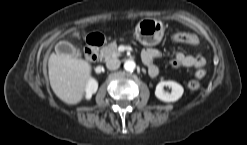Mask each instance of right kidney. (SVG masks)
<instances>
[{"instance_id":"ca27d5eb","label":"right kidney","mask_w":247,"mask_h":145,"mask_svg":"<svg viewBox=\"0 0 247 145\" xmlns=\"http://www.w3.org/2000/svg\"><path fill=\"white\" fill-rule=\"evenodd\" d=\"M98 89V83L95 79H89L86 84V98L90 99L92 95L97 91Z\"/></svg>"}]
</instances>
